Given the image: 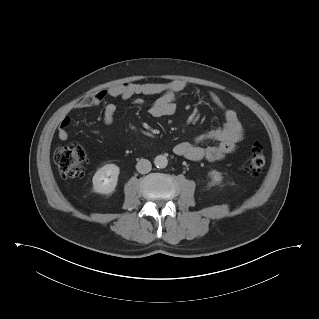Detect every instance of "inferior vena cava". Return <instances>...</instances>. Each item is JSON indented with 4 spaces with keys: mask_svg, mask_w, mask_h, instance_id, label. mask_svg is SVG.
Listing matches in <instances>:
<instances>
[{
    "mask_svg": "<svg viewBox=\"0 0 319 319\" xmlns=\"http://www.w3.org/2000/svg\"><path fill=\"white\" fill-rule=\"evenodd\" d=\"M136 169L141 174H147L152 169L151 162L149 160H147V159H140L137 162Z\"/></svg>",
    "mask_w": 319,
    "mask_h": 319,
    "instance_id": "inferior-vena-cava-1",
    "label": "inferior vena cava"
}]
</instances>
